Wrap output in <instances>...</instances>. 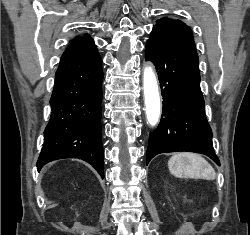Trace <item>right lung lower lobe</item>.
Wrapping results in <instances>:
<instances>
[{
    "label": "right lung lower lobe",
    "mask_w": 250,
    "mask_h": 235,
    "mask_svg": "<svg viewBox=\"0 0 250 235\" xmlns=\"http://www.w3.org/2000/svg\"><path fill=\"white\" fill-rule=\"evenodd\" d=\"M102 59L92 41L66 49L55 73L51 117L37 169L57 159L79 158L104 178L101 140Z\"/></svg>",
    "instance_id": "right-lung-lower-lobe-1"
}]
</instances>
